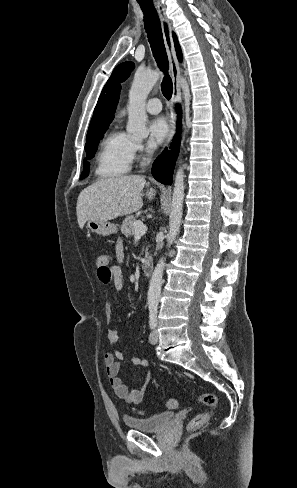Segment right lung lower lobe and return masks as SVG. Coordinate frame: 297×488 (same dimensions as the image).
I'll list each match as a JSON object with an SVG mask.
<instances>
[{
  "label": "right lung lower lobe",
  "mask_w": 297,
  "mask_h": 488,
  "mask_svg": "<svg viewBox=\"0 0 297 488\" xmlns=\"http://www.w3.org/2000/svg\"><path fill=\"white\" fill-rule=\"evenodd\" d=\"M179 123L180 120H178V132L173 138V142L171 146L172 151L168 152V150H165L154 162L152 168V174L154 178L157 181L167 185H171L172 183L173 169L179 152V145H180V132H179L180 124Z\"/></svg>",
  "instance_id": "obj_1"
}]
</instances>
